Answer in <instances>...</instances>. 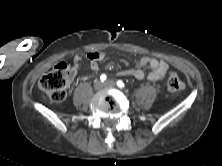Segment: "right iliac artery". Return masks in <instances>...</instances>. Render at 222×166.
I'll return each mask as SVG.
<instances>
[{
	"mask_svg": "<svg viewBox=\"0 0 222 166\" xmlns=\"http://www.w3.org/2000/svg\"><path fill=\"white\" fill-rule=\"evenodd\" d=\"M106 78H107V76H106L105 74H102V75L100 76V80H101L102 82H104V81L106 80Z\"/></svg>",
	"mask_w": 222,
	"mask_h": 166,
	"instance_id": "82829eb1",
	"label": "right iliac artery"
}]
</instances>
